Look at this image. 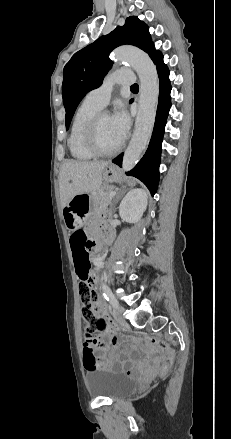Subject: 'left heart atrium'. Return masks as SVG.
<instances>
[{"instance_id":"39dd6f15","label":"left heart atrium","mask_w":231,"mask_h":439,"mask_svg":"<svg viewBox=\"0 0 231 439\" xmlns=\"http://www.w3.org/2000/svg\"><path fill=\"white\" fill-rule=\"evenodd\" d=\"M111 121L117 138L122 143L127 137L130 128V119L122 106L118 107L113 113Z\"/></svg>"}]
</instances>
